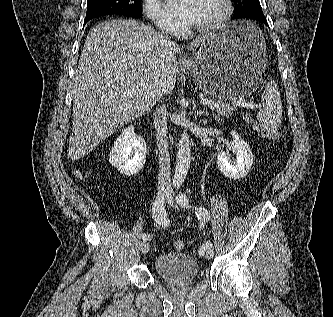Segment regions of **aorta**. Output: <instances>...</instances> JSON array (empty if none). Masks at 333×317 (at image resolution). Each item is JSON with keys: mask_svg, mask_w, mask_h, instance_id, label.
<instances>
[{"mask_svg": "<svg viewBox=\"0 0 333 317\" xmlns=\"http://www.w3.org/2000/svg\"><path fill=\"white\" fill-rule=\"evenodd\" d=\"M190 153L191 142L189 140V135L187 131H183L179 140L176 168L173 178V182L177 185L182 184L188 174L190 167Z\"/></svg>", "mask_w": 333, "mask_h": 317, "instance_id": "obj_1", "label": "aorta"}]
</instances>
